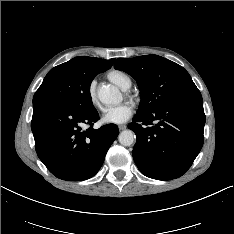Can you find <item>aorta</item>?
I'll return each mask as SVG.
<instances>
[{
  "label": "aorta",
  "mask_w": 234,
  "mask_h": 234,
  "mask_svg": "<svg viewBox=\"0 0 234 234\" xmlns=\"http://www.w3.org/2000/svg\"><path fill=\"white\" fill-rule=\"evenodd\" d=\"M97 95L99 100L104 104H114L119 101L120 93L118 89L112 85H102L98 88ZM118 140L123 146H130L134 143L135 134L131 130L122 131Z\"/></svg>",
  "instance_id": "1"
}]
</instances>
